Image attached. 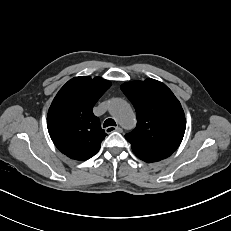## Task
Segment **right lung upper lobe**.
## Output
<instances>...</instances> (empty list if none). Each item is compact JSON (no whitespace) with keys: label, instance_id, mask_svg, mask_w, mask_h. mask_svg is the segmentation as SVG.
<instances>
[{"label":"right lung upper lobe","instance_id":"right-lung-upper-lobe-1","mask_svg":"<svg viewBox=\"0 0 231 231\" xmlns=\"http://www.w3.org/2000/svg\"><path fill=\"white\" fill-rule=\"evenodd\" d=\"M110 86V81L101 77H75L54 98L48 111V132L69 158L84 161L99 151L106 133L92 108Z\"/></svg>","mask_w":231,"mask_h":231}]
</instances>
